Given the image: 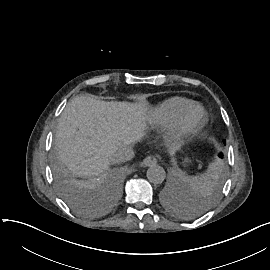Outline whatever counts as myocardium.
I'll list each match as a JSON object with an SVG mask.
<instances>
[{
	"instance_id": "f54148a6",
	"label": "myocardium",
	"mask_w": 270,
	"mask_h": 270,
	"mask_svg": "<svg viewBox=\"0 0 270 270\" xmlns=\"http://www.w3.org/2000/svg\"><path fill=\"white\" fill-rule=\"evenodd\" d=\"M199 112L198 116H194ZM207 113L200 105L192 106L167 133L166 139L176 147L185 145L205 124Z\"/></svg>"
}]
</instances>
